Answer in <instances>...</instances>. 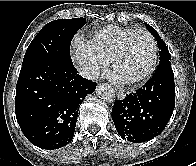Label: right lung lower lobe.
I'll list each match as a JSON object with an SVG mask.
<instances>
[{"label": "right lung lower lobe", "mask_w": 196, "mask_h": 166, "mask_svg": "<svg viewBox=\"0 0 196 166\" xmlns=\"http://www.w3.org/2000/svg\"><path fill=\"white\" fill-rule=\"evenodd\" d=\"M55 59L22 65L16 85L15 112L26 138L35 146L58 149L74 136L80 104L97 84Z\"/></svg>", "instance_id": "98d812e1"}]
</instances>
